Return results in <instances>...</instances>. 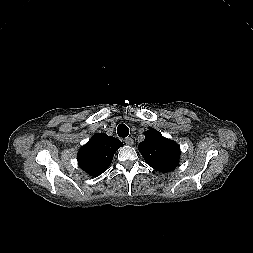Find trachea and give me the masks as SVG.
Here are the masks:
<instances>
[{"mask_svg":"<svg viewBox=\"0 0 253 253\" xmlns=\"http://www.w3.org/2000/svg\"><path fill=\"white\" fill-rule=\"evenodd\" d=\"M117 134L118 136L125 138L129 135V128L125 124H120L117 127Z\"/></svg>","mask_w":253,"mask_h":253,"instance_id":"3493384b","label":"trachea"}]
</instances>
